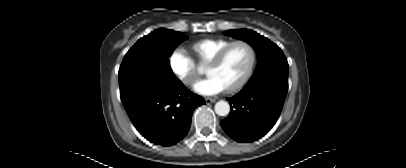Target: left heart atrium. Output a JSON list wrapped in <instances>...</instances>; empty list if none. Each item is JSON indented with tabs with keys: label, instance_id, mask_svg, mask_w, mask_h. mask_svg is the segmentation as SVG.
I'll return each instance as SVG.
<instances>
[{
	"label": "left heart atrium",
	"instance_id": "obj_1",
	"mask_svg": "<svg viewBox=\"0 0 406 168\" xmlns=\"http://www.w3.org/2000/svg\"><path fill=\"white\" fill-rule=\"evenodd\" d=\"M194 90L201 95H215L223 90L224 86L213 76H209L194 85Z\"/></svg>",
	"mask_w": 406,
	"mask_h": 168
}]
</instances>
